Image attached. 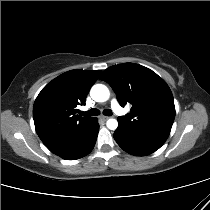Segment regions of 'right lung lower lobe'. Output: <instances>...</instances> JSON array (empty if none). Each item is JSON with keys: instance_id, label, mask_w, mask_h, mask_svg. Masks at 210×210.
<instances>
[{"instance_id": "right-lung-lower-lobe-1", "label": "right lung lower lobe", "mask_w": 210, "mask_h": 210, "mask_svg": "<svg viewBox=\"0 0 210 210\" xmlns=\"http://www.w3.org/2000/svg\"><path fill=\"white\" fill-rule=\"evenodd\" d=\"M98 131V120L95 118L89 128L73 135L67 142L52 152L65 160L82 158L92 151Z\"/></svg>"}]
</instances>
